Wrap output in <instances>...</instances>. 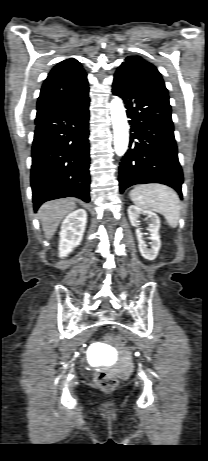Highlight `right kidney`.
<instances>
[{
  "label": "right kidney",
  "mask_w": 208,
  "mask_h": 461,
  "mask_svg": "<svg viewBox=\"0 0 208 461\" xmlns=\"http://www.w3.org/2000/svg\"><path fill=\"white\" fill-rule=\"evenodd\" d=\"M87 213L84 209H78L66 216L61 225L59 256L65 257L77 247L85 231Z\"/></svg>",
  "instance_id": "ca27d5eb"
}]
</instances>
